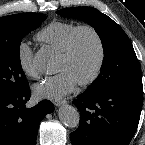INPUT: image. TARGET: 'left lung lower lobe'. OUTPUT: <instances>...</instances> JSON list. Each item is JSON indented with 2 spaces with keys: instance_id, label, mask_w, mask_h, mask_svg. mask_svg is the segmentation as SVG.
<instances>
[{
  "instance_id": "left-lung-lower-lobe-1",
  "label": "left lung lower lobe",
  "mask_w": 145,
  "mask_h": 145,
  "mask_svg": "<svg viewBox=\"0 0 145 145\" xmlns=\"http://www.w3.org/2000/svg\"><path fill=\"white\" fill-rule=\"evenodd\" d=\"M80 125L71 133L72 145H128L133 138L143 103L142 84L104 92H84L73 100Z\"/></svg>"
}]
</instances>
